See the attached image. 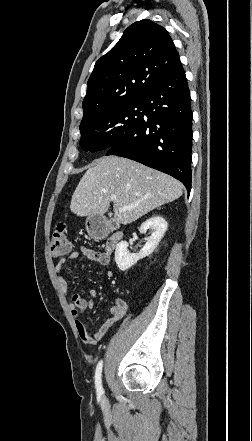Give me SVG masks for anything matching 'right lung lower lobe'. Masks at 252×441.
Masks as SVG:
<instances>
[{
	"label": "right lung lower lobe",
	"instance_id": "obj_1",
	"mask_svg": "<svg viewBox=\"0 0 252 441\" xmlns=\"http://www.w3.org/2000/svg\"><path fill=\"white\" fill-rule=\"evenodd\" d=\"M142 118L106 155L126 157L167 173L191 190L192 111L181 62L141 99Z\"/></svg>",
	"mask_w": 252,
	"mask_h": 441
}]
</instances>
